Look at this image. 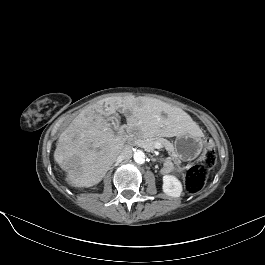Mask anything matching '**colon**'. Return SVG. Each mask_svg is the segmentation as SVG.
Here are the masks:
<instances>
[{"instance_id": "obj_1", "label": "colon", "mask_w": 265, "mask_h": 265, "mask_svg": "<svg viewBox=\"0 0 265 265\" xmlns=\"http://www.w3.org/2000/svg\"><path fill=\"white\" fill-rule=\"evenodd\" d=\"M216 163V154L213 143L206 142V148L200 161L192 165L185 174V187L191 194L199 193L205 185L208 173Z\"/></svg>"}]
</instances>
